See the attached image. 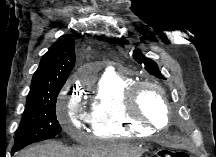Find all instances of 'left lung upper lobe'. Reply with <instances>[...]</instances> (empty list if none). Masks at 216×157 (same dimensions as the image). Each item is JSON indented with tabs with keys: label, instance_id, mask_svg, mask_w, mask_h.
Segmentation results:
<instances>
[{
	"label": "left lung upper lobe",
	"instance_id": "obj_1",
	"mask_svg": "<svg viewBox=\"0 0 216 157\" xmlns=\"http://www.w3.org/2000/svg\"><path fill=\"white\" fill-rule=\"evenodd\" d=\"M133 58L138 63L143 64L144 67H145V70L147 72H149L151 75H153V76H155L157 78L166 79L161 74V72L159 71L157 64L153 60H151V59L145 57L144 55H142V53L139 50H134Z\"/></svg>",
	"mask_w": 216,
	"mask_h": 157
}]
</instances>
